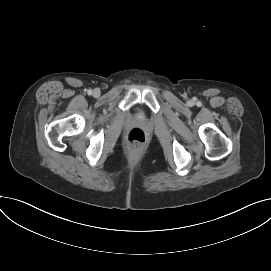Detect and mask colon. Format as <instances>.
Returning a JSON list of instances; mask_svg holds the SVG:
<instances>
[{
  "label": "colon",
  "instance_id": "5ec220e1",
  "mask_svg": "<svg viewBox=\"0 0 271 271\" xmlns=\"http://www.w3.org/2000/svg\"><path fill=\"white\" fill-rule=\"evenodd\" d=\"M128 143L133 149H141L146 143V134L140 128H133L129 131Z\"/></svg>",
  "mask_w": 271,
  "mask_h": 271
}]
</instances>
